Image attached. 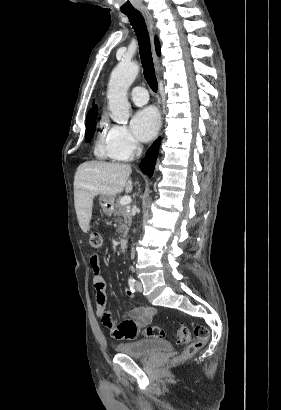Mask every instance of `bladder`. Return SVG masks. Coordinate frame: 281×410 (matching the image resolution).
<instances>
[{"mask_svg":"<svg viewBox=\"0 0 281 410\" xmlns=\"http://www.w3.org/2000/svg\"><path fill=\"white\" fill-rule=\"evenodd\" d=\"M116 350L134 358H148L157 353L169 352L171 344L161 339L143 338L116 345Z\"/></svg>","mask_w":281,"mask_h":410,"instance_id":"obj_1","label":"bladder"}]
</instances>
